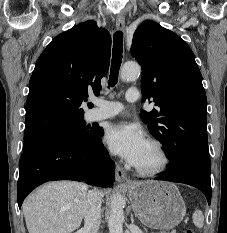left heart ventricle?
Returning <instances> with one entry per match:
<instances>
[{
    "label": "left heart ventricle",
    "mask_w": 227,
    "mask_h": 233,
    "mask_svg": "<svg viewBox=\"0 0 227 233\" xmlns=\"http://www.w3.org/2000/svg\"><path fill=\"white\" fill-rule=\"evenodd\" d=\"M160 157L156 149L147 144L141 155L139 156L138 160L136 161L135 165L143 167V168H152L159 164Z\"/></svg>",
    "instance_id": "b2bd125f"
}]
</instances>
